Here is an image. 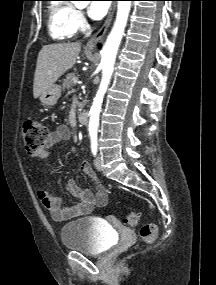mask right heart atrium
<instances>
[{"label": "right heart atrium", "mask_w": 216, "mask_h": 285, "mask_svg": "<svg viewBox=\"0 0 216 285\" xmlns=\"http://www.w3.org/2000/svg\"><path fill=\"white\" fill-rule=\"evenodd\" d=\"M74 19H75V25L77 29H80V30L85 29L87 22H86L85 16L82 13V11L76 10Z\"/></svg>", "instance_id": "right-heart-atrium-1"}]
</instances>
